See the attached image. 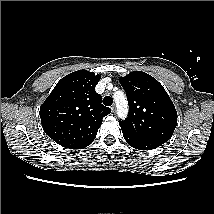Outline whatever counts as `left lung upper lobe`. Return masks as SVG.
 <instances>
[{"instance_id":"1","label":"left lung upper lobe","mask_w":214,"mask_h":214,"mask_svg":"<svg viewBox=\"0 0 214 214\" xmlns=\"http://www.w3.org/2000/svg\"><path fill=\"white\" fill-rule=\"evenodd\" d=\"M128 97L130 112L119 125L123 132L164 144L177 125V112L163 86L142 71L119 79Z\"/></svg>"}]
</instances>
